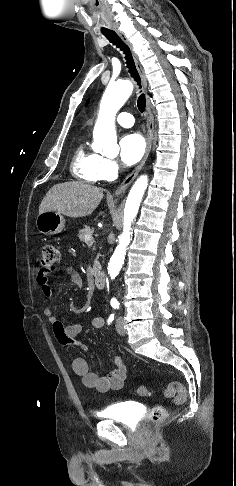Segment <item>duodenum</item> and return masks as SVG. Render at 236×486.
<instances>
[{
	"label": "duodenum",
	"mask_w": 236,
	"mask_h": 486,
	"mask_svg": "<svg viewBox=\"0 0 236 486\" xmlns=\"http://www.w3.org/2000/svg\"><path fill=\"white\" fill-rule=\"evenodd\" d=\"M94 284L98 289H103L106 284V277L103 271H98L94 276Z\"/></svg>",
	"instance_id": "1"
}]
</instances>
